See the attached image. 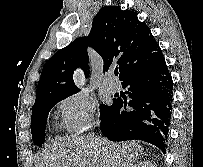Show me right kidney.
<instances>
[{"label": "right kidney", "mask_w": 203, "mask_h": 167, "mask_svg": "<svg viewBox=\"0 0 203 167\" xmlns=\"http://www.w3.org/2000/svg\"><path fill=\"white\" fill-rule=\"evenodd\" d=\"M133 167H156L154 163L149 161H143L135 164Z\"/></svg>", "instance_id": "1"}]
</instances>
